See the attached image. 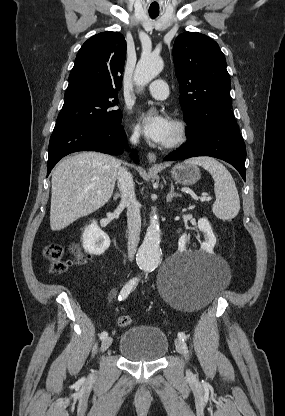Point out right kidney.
Here are the masks:
<instances>
[{
	"instance_id": "right-kidney-1",
	"label": "right kidney",
	"mask_w": 285,
	"mask_h": 416,
	"mask_svg": "<svg viewBox=\"0 0 285 416\" xmlns=\"http://www.w3.org/2000/svg\"><path fill=\"white\" fill-rule=\"evenodd\" d=\"M82 244L85 252L100 256V254H104L105 250H108L110 238L108 234L100 230L96 220H91L90 226H87L82 234Z\"/></svg>"
}]
</instances>
